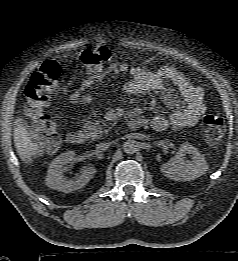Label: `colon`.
<instances>
[{
    "mask_svg": "<svg viewBox=\"0 0 238 261\" xmlns=\"http://www.w3.org/2000/svg\"><path fill=\"white\" fill-rule=\"evenodd\" d=\"M110 51L106 47L85 49L81 53V62L87 70L95 75L103 72L110 61ZM62 73L60 64L54 60L45 61L31 76L25 88V113L40 144L47 150L59 147L60 138L56 123L45 113L51 93L56 89ZM201 130L211 145H217L226 131L225 119L216 113H207L201 121Z\"/></svg>",
    "mask_w": 238,
    "mask_h": 261,
    "instance_id": "colon-1",
    "label": "colon"
}]
</instances>
